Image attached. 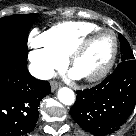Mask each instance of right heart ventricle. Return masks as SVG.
Wrapping results in <instances>:
<instances>
[{
	"label": "right heart ventricle",
	"mask_w": 136,
	"mask_h": 136,
	"mask_svg": "<svg viewBox=\"0 0 136 136\" xmlns=\"http://www.w3.org/2000/svg\"><path fill=\"white\" fill-rule=\"evenodd\" d=\"M99 29L100 26L91 22H64L44 32V36L54 49L68 56L82 39Z\"/></svg>",
	"instance_id": "1"
}]
</instances>
